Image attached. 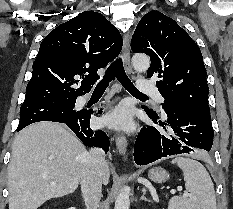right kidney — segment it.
I'll return each mask as SVG.
<instances>
[{"instance_id":"1","label":"right kidney","mask_w":233,"mask_h":209,"mask_svg":"<svg viewBox=\"0 0 233 209\" xmlns=\"http://www.w3.org/2000/svg\"><path fill=\"white\" fill-rule=\"evenodd\" d=\"M69 209H75L74 207H71V208H69Z\"/></svg>"}]
</instances>
